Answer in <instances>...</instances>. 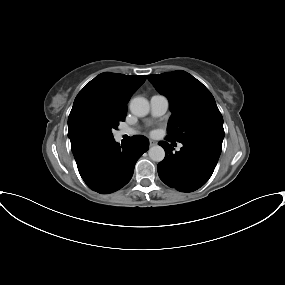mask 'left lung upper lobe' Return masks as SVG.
Segmentation results:
<instances>
[{
    "mask_svg": "<svg viewBox=\"0 0 285 285\" xmlns=\"http://www.w3.org/2000/svg\"><path fill=\"white\" fill-rule=\"evenodd\" d=\"M168 97L172 115L167 139L181 143L212 142L222 146L223 118L210 91L189 73L178 70L148 75Z\"/></svg>",
    "mask_w": 285,
    "mask_h": 285,
    "instance_id": "left-lung-upper-lobe-1",
    "label": "left lung upper lobe"
}]
</instances>
